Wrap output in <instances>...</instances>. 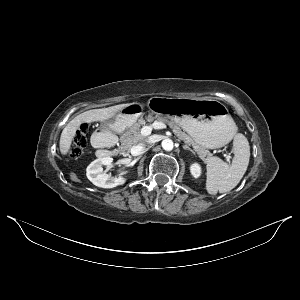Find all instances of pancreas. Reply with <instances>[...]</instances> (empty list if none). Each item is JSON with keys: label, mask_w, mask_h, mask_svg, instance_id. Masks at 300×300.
Wrapping results in <instances>:
<instances>
[{"label": "pancreas", "mask_w": 300, "mask_h": 300, "mask_svg": "<svg viewBox=\"0 0 300 300\" xmlns=\"http://www.w3.org/2000/svg\"><path fill=\"white\" fill-rule=\"evenodd\" d=\"M154 118L149 117L147 120L152 121ZM158 121L162 123H167L169 127L173 130V132L183 141L193 146L194 150L197 152L199 157L204 161L208 162L212 158V154L206 147L198 144L194 141L188 134L183 132L179 125L175 124L173 121L168 120L164 117L157 118ZM145 122L142 120L140 123L133 125L128 131H126L121 137L120 142L121 145L119 147L121 152L128 151L132 146L137 143L145 141L146 137L140 132V125Z\"/></svg>", "instance_id": "1"}]
</instances>
